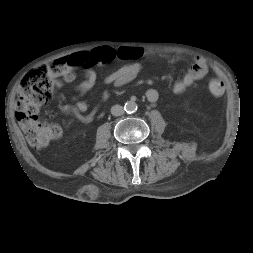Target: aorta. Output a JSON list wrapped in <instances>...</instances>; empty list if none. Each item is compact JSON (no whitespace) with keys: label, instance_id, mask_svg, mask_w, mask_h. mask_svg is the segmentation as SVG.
I'll return each instance as SVG.
<instances>
[{"label":"aorta","instance_id":"aorta-1","mask_svg":"<svg viewBox=\"0 0 253 253\" xmlns=\"http://www.w3.org/2000/svg\"><path fill=\"white\" fill-rule=\"evenodd\" d=\"M124 109L127 113H134L137 110V104L134 101H127L125 103Z\"/></svg>","mask_w":253,"mask_h":253}]
</instances>
